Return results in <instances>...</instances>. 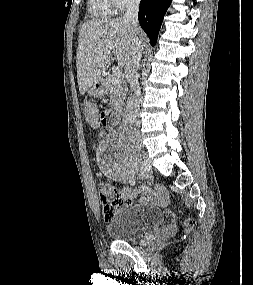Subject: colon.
Wrapping results in <instances>:
<instances>
[{
    "instance_id": "obj_1",
    "label": "colon",
    "mask_w": 253,
    "mask_h": 285,
    "mask_svg": "<svg viewBox=\"0 0 253 285\" xmlns=\"http://www.w3.org/2000/svg\"><path fill=\"white\" fill-rule=\"evenodd\" d=\"M84 115L86 117L87 122L93 128L99 127V113L94 107H92L91 105H87L84 109ZM99 198L103 206V215L106 220L112 219L117 210L128 206L132 200L121 190L109 186H101L99 188ZM185 225L187 229H191L194 225V222L193 220L188 219Z\"/></svg>"
}]
</instances>
